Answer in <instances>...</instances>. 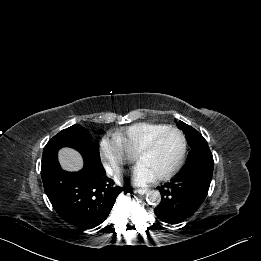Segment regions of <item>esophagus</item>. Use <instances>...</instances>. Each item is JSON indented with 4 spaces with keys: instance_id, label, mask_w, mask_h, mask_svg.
Masks as SVG:
<instances>
[{
    "instance_id": "34e87169",
    "label": "esophagus",
    "mask_w": 261,
    "mask_h": 261,
    "mask_svg": "<svg viewBox=\"0 0 261 261\" xmlns=\"http://www.w3.org/2000/svg\"><path fill=\"white\" fill-rule=\"evenodd\" d=\"M135 191H136L137 193L143 195V194L147 193L148 189H136Z\"/></svg>"
}]
</instances>
